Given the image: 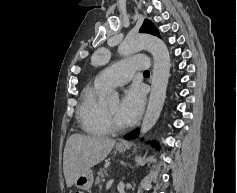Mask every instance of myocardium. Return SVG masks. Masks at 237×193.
Segmentation results:
<instances>
[{
	"mask_svg": "<svg viewBox=\"0 0 237 193\" xmlns=\"http://www.w3.org/2000/svg\"><path fill=\"white\" fill-rule=\"evenodd\" d=\"M103 119L105 125L108 127L110 131H122L127 127L126 125H120L113 120L112 116L110 115L106 107V104H103Z\"/></svg>",
	"mask_w": 237,
	"mask_h": 193,
	"instance_id": "1",
	"label": "myocardium"
}]
</instances>
